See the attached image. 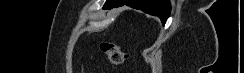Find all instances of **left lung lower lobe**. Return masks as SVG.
<instances>
[{
	"label": "left lung lower lobe",
	"mask_w": 244,
	"mask_h": 73,
	"mask_svg": "<svg viewBox=\"0 0 244 73\" xmlns=\"http://www.w3.org/2000/svg\"><path fill=\"white\" fill-rule=\"evenodd\" d=\"M123 5L141 9L146 13L158 16L163 24H165L171 10L168 0H107L103 9H111Z\"/></svg>",
	"instance_id": "obj_1"
}]
</instances>
